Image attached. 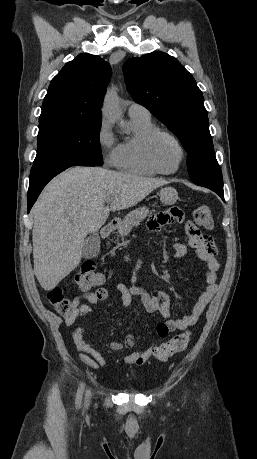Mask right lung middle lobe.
Returning <instances> with one entry per match:
<instances>
[{
    "instance_id": "1",
    "label": "right lung middle lobe",
    "mask_w": 257,
    "mask_h": 459,
    "mask_svg": "<svg viewBox=\"0 0 257 459\" xmlns=\"http://www.w3.org/2000/svg\"><path fill=\"white\" fill-rule=\"evenodd\" d=\"M100 128L101 119L60 112L41 113L33 165L63 158H82L103 165Z\"/></svg>"
}]
</instances>
